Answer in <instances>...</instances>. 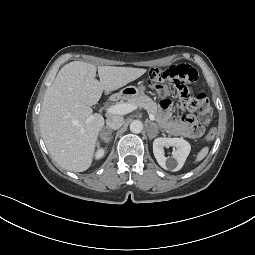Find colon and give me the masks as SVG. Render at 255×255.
<instances>
[{
	"instance_id": "5ec220e1",
	"label": "colon",
	"mask_w": 255,
	"mask_h": 255,
	"mask_svg": "<svg viewBox=\"0 0 255 255\" xmlns=\"http://www.w3.org/2000/svg\"><path fill=\"white\" fill-rule=\"evenodd\" d=\"M196 79V70L189 65L181 64L172 66L166 70L152 68L149 72L148 83L160 93L166 92L167 82L172 83L180 95L183 106L189 111H196L200 123L202 125H208L212 119V107L206 94H193L190 84ZM215 136V130H210L206 135V140L212 141Z\"/></svg>"
}]
</instances>
